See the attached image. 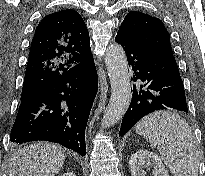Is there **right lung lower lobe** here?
<instances>
[{
    "mask_svg": "<svg viewBox=\"0 0 205 176\" xmlns=\"http://www.w3.org/2000/svg\"><path fill=\"white\" fill-rule=\"evenodd\" d=\"M97 83L91 56L21 100L11 142L51 141L85 155V129Z\"/></svg>",
    "mask_w": 205,
    "mask_h": 176,
    "instance_id": "98d812e1",
    "label": "right lung lower lobe"
}]
</instances>
